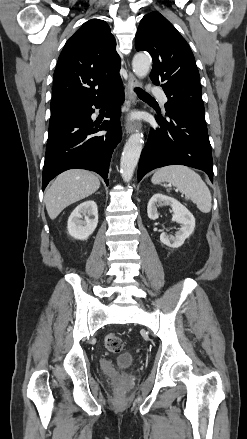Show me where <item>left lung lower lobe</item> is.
<instances>
[{"label": "left lung lower lobe", "instance_id": "obj_1", "mask_svg": "<svg viewBox=\"0 0 247 439\" xmlns=\"http://www.w3.org/2000/svg\"><path fill=\"white\" fill-rule=\"evenodd\" d=\"M156 117L160 127L151 128L141 153L138 181L149 171L167 165H186L201 169L213 180L211 145L205 119L187 114Z\"/></svg>", "mask_w": 247, "mask_h": 439}]
</instances>
